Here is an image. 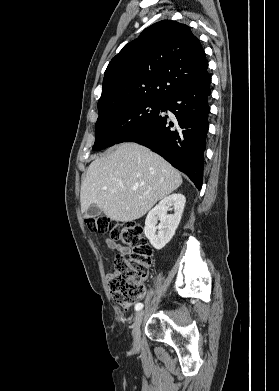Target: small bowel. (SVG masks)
Returning <instances> with one entry per match:
<instances>
[{
  "label": "small bowel",
  "instance_id": "small-bowel-1",
  "mask_svg": "<svg viewBox=\"0 0 279 391\" xmlns=\"http://www.w3.org/2000/svg\"><path fill=\"white\" fill-rule=\"evenodd\" d=\"M106 243L109 248L115 250L119 255H126L130 252L128 247L120 245L112 239H107Z\"/></svg>",
  "mask_w": 279,
  "mask_h": 391
}]
</instances>
